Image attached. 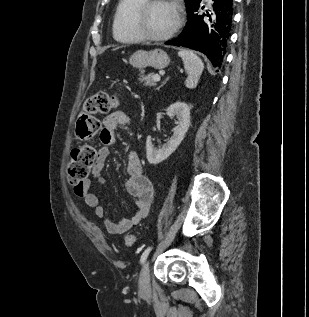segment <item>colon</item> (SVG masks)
Returning a JSON list of instances; mask_svg holds the SVG:
<instances>
[{
    "instance_id": "colon-1",
    "label": "colon",
    "mask_w": 309,
    "mask_h": 317,
    "mask_svg": "<svg viewBox=\"0 0 309 317\" xmlns=\"http://www.w3.org/2000/svg\"><path fill=\"white\" fill-rule=\"evenodd\" d=\"M118 103V97L115 94L98 92L90 96L84 104V112L77 120L76 133L81 139H89L98 133L101 124L95 116L110 112ZM97 151L91 145H80L71 152L70 161L67 168V177L69 183L76 188L90 174L96 161ZM128 246H133L135 238L128 235L125 238Z\"/></svg>"
}]
</instances>
